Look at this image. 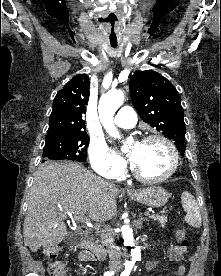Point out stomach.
Segmentation results:
<instances>
[{
    "instance_id": "0dacf381",
    "label": "stomach",
    "mask_w": 221,
    "mask_h": 276,
    "mask_svg": "<svg viewBox=\"0 0 221 276\" xmlns=\"http://www.w3.org/2000/svg\"><path fill=\"white\" fill-rule=\"evenodd\" d=\"M130 199L150 207H162L168 202V192L160 186H150L129 194Z\"/></svg>"
}]
</instances>
